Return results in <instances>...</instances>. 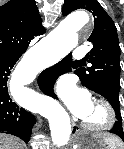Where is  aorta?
<instances>
[{"label":"aorta","instance_id":"aorta-1","mask_svg":"<svg viewBox=\"0 0 124 149\" xmlns=\"http://www.w3.org/2000/svg\"><path fill=\"white\" fill-rule=\"evenodd\" d=\"M89 21L90 17L85 11H77L67 16L27 54L15 71L14 78L24 83L26 77L35 70L38 60L48 50L61 56L68 54L78 44L77 32ZM43 115L49 121L53 144L58 147L65 145L71 134L70 118L65 109L56 100L47 98L43 105Z\"/></svg>","mask_w":124,"mask_h":149}]
</instances>
